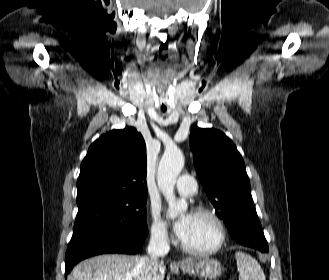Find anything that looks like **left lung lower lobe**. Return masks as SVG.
I'll use <instances>...</instances> for the list:
<instances>
[{
    "label": "left lung lower lobe",
    "mask_w": 329,
    "mask_h": 280,
    "mask_svg": "<svg viewBox=\"0 0 329 280\" xmlns=\"http://www.w3.org/2000/svg\"><path fill=\"white\" fill-rule=\"evenodd\" d=\"M250 220L245 225H236L229 232L231 236L237 241H242V245L249 246L260 250L261 252H268V244L262 231L255 207L250 208Z\"/></svg>",
    "instance_id": "obj_1"
}]
</instances>
